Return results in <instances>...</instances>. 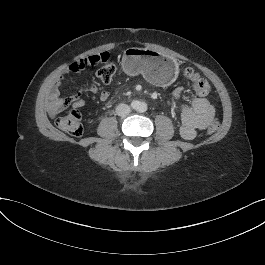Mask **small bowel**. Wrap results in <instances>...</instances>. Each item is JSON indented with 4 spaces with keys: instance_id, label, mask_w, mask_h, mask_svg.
Returning <instances> with one entry per match:
<instances>
[{
    "instance_id": "obj_1",
    "label": "small bowel",
    "mask_w": 265,
    "mask_h": 265,
    "mask_svg": "<svg viewBox=\"0 0 265 265\" xmlns=\"http://www.w3.org/2000/svg\"><path fill=\"white\" fill-rule=\"evenodd\" d=\"M60 84L61 79L59 78L54 82L51 89L49 97V109L51 113L61 111L70 105L74 108L84 105V100L79 98V93L70 97H62L59 91ZM84 89L97 95L102 102L107 101L110 97L108 91L99 89L94 83L88 84ZM183 91V87L179 86L173 92L180 112V134L185 139H193L198 131L205 129L213 120L215 108L209 100L201 96L194 97L190 105L184 104L182 102Z\"/></svg>"
}]
</instances>
